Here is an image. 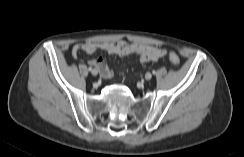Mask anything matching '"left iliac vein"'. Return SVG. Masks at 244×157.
<instances>
[{
	"label": "left iliac vein",
	"mask_w": 244,
	"mask_h": 157,
	"mask_svg": "<svg viewBox=\"0 0 244 157\" xmlns=\"http://www.w3.org/2000/svg\"><path fill=\"white\" fill-rule=\"evenodd\" d=\"M151 78H152V74L151 73L148 72V73L145 74V79L146 80H150Z\"/></svg>",
	"instance_id": "left-iliac-vein-1"
}]
</instances>
